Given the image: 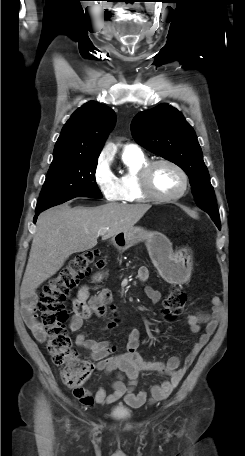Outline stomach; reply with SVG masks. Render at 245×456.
I'll return each mask as SVG.
<instances>
[{
  "label": "stomach",
  "instance_id": "1",
  "mask_svg": "<svg viewBox=\"0 0 245 456\" xmlns=\"http://www.w3.org/2000/svg\"><path fill=\"white\" fill-rule=\"evenodd\" d=\"M140 242H145L154 266L165 280L182 283L188 278L191 269L190 249L183 247L174 252L162 233L133 226L112 239L113 245L119 250H126Z\"/></svg>",
  "mask_w": 245,
  "mask_h": 456
}]
</instances>
